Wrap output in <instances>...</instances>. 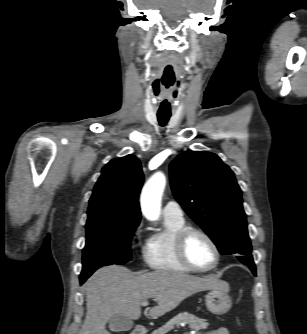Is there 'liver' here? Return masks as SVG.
<instances>
[{
    "label": "liver",
    "mask_w": 307,
    "mask_h": 334,
    "mask_svg": "<svg viewBox=\"0 0 307 334\" xmlns=\"http://www.w3.org/2000/svg\"><path fill=\"white\" fill-rule=\"evenodd\" d=\"M215 275L196 277L173 271L132 273L123 266L98 269L85 283L86 317L79 334H110L106 323L116 314L137 320L141 303L154 298L157 306L149 311L159 317L176 308L188 296L219 287Z\"/></svg>",
    "instance_id": "obj_1"
}]
</instances>
